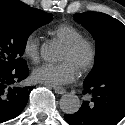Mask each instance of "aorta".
I'll return each instance as SVG.
<instances>
[{
	"instance_id": "1",
	"label": "aorta",
	"mask_w": 125,
	"mask_h": 125,
	"mask_svg": "<svg viewBox=\"0 0 125 125\" xmlns=\"http://www.w3.org/2000/svg\"><path fill=\"white\" fill-rule=\"evenodd\" d=\"M40 53L45 61L56 62L60 57V46L55 41H48L41 46ZM80 106V99L74 93H67L60 99V108L66 114H74Z\"/></svg>"
}]
</instances>
